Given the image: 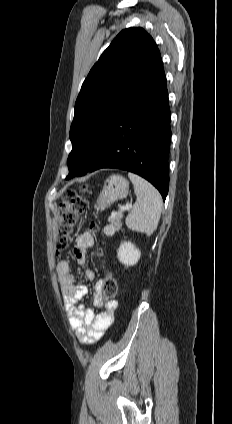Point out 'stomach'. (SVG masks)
<instances>
[{"label": "stomach", "instance_id": "1", "mask_svg": "<svg viewBox=\"0 0 232 424\" xmlns=\"http://www.w3.org/2000/svg\"><path fill=\"white\" fill-rule=\"evenodd\" d=\"M129 183L120 175H111L104 185L95 205L97 211H104L115 201L128 195Z\"/></svg>", "mask_w": 232, "mask_h": 424}]
</instances>
